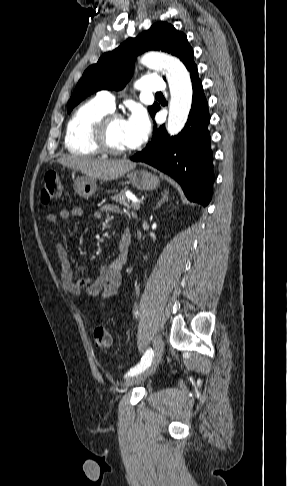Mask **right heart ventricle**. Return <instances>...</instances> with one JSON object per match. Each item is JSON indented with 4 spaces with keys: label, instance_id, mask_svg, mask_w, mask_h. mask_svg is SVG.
<instances>
[{
    "label": "right heart ventricle",
    "instance_id": "e07e8e85",
    "mask_svg": "<svg viewBox=\"0 0 287 486\" xmlns=\"http://www.w3.org/2000/svg\"><path fill=\"white\" fill-rule=\"evenodd\" d=\"M111 109L97 98L81 104L68 120L64 144L73 155L93 157L100 154L92 142V128Z\"/></svg>",
    "mask_w": 287,
    "mask_h": 486
}]
</instances>
